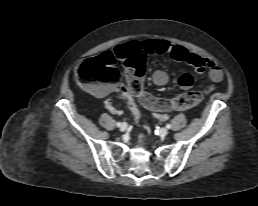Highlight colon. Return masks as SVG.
I'll return each instance as SVG.
<instances>
[{
	"label": "colon",
	"instance_id": "obj_1",
	"mask_svg": "<svg viewBox=\"0 0 258 206\" xmlns=\"http://www.w3.org/2000/svg\"><path fill=\"white\" fill-rule=\"evenodd\" d=\"M144 71L143 55L139 54L125 61L126 81L123 84V92L137 119H140L137 101L150 110L166 113L193 108L203 99V94L197 91L186 92L170 100L155 98L144 90ZM75 75L78 82L89 89H95L100 84H115L121 79V72L115 66L114 57L108 53L80 61L75 66Z\"/></svg>",
	"mask_w": 258,
	"mask_h": 206
}]
</instances>
